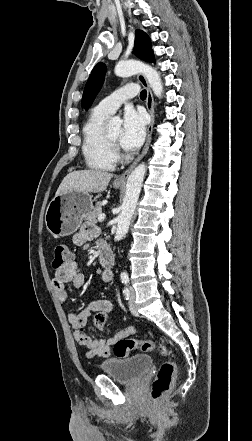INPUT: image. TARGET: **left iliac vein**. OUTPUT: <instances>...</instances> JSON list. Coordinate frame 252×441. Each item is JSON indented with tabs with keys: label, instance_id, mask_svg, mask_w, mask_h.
Returning <instances> with one entry per match:
<instances>
[{
	"label": "left iliac vein",
	"instance_id": "left-iliac-vein-1",
	"mask_svg": "<svg viewBox=\"0 0 252 441\" xmlns=\"http://www.w3.org/2000/svg\"><path fill=\"white\" fill-rule=\"evenodd\" d=\"M129 309L134 316H138V311L135 304V292L132 288L130 289Z\"/></svg>",
	"mask_w": 252,
	"mask_h": 441
}]
</instances>
